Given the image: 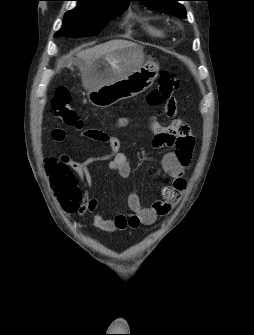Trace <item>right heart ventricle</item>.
Listing matches in <instances>:
<instances>
[{"instance_id": "right-heart-ventricle-1", "label": "right heart ventricle", "mask_w": 254, "mask_h": 335, "mask_svg": "<svg viewBox=\"0 0 254 335\" xmlns=\"http://www.w3.org/2000/svg\"><path fill=\"white\" fill-rule=\"evenodd\" d=\"M144 27H145V30L152 36L161 37L164 34L163 30H161V29H159V28H157V27H155L151 24L146 23L144 25Z\"/></svg>"}]
</instances>
